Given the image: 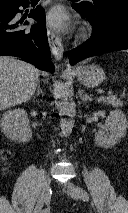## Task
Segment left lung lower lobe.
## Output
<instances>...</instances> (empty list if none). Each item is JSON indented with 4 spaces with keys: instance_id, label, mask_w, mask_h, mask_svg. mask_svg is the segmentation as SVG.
Instances as JSON below:
<instances>
[{
    "instance_id": "left-lung-lower-lobe-1",
    "label": "left lung lower lobe",
    "mask_w": 128,
    "mask_h": 213,
    "mask_svg": "<svg viewBox=\"0 0 128 213\" xmlns=\"http://www.w3.org/2000/svg\"><path fill=\"white\" fill-rule=\"evenodd\" d=\"M72 7L85 16L96 30L92 33L93 38L87 40L84 46L70 50L72 63L98 54L128 49V10H119L99 21L78 4Z\"/></svg>"
}]
</instances>
